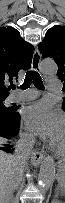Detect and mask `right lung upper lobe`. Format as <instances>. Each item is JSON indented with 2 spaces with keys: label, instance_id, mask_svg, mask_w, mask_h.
<instances>
[{
  "label": "right lung upper lobe",
  "instance_id": "right-lung-upper-lobe-1",
  "mask_svg": "<svg viewBox=\"0 0 65 203\" xmlns=\"http://www.w3.org/2000/svg\"><path fill=\"white\" fill-rule=\"evenodd\" d=\"M34 47L13 27H0V97L8 96L12 79L31 66Z\"/></svg>",
  "mask_w": 65,
  "mask_h": 203
}]
</instances>
